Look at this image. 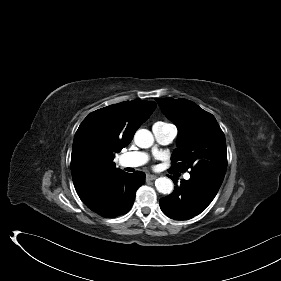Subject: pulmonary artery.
I'll use <instances>...</instances> for the list:
<instances>
[{
	"label": "pulmonary artery",
	"mask_w": 281,
	"mask_h": 281,
	"mask_svg": "<svg viewBox=\"0 0 281 281\" xmlns=\"http://www.w3.org/2000/svg\"><path fill=\"white\" fill-rule=\"evenodd\" d=\"M155 140L158 144H170L177 135L174 125L168 123H156L152 128ZM148 161V155L144 152H130L121 157V164L125 167H139ZM186 180L190 179V174L184 175Z\"/></svg>",
	"instance_id": "obj_1"
}]
</instances>
